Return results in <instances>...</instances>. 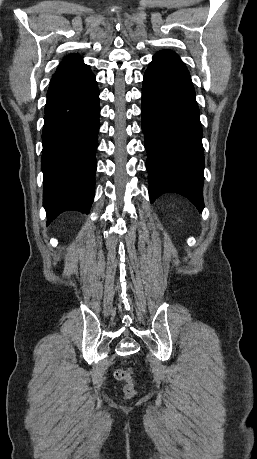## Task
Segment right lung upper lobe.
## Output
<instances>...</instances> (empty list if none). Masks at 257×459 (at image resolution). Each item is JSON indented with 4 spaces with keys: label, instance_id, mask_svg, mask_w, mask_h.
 Returning <instances> with one entry per match:
<instances>
[{
    "label": "right lung upper lobe",
    "instance_id": "obj_1",
    "mask_svg": "<svg viewBox=\"0 0 257 459\" xmlns=\"http://www.w3.org/2000/svg\"><path fill=\"white\" fill-rule=\"evenodd\" d=\"M90 73L92 72L89 66L83 63L81 57L78 54H72L61 62L51 79L50 85L62 81L77 80Z\"/></svg>",
    "mask_w": 257,
    "mask_h": 459
}]
</instances>
